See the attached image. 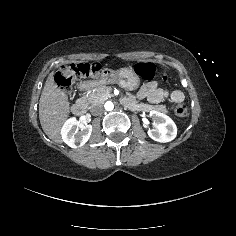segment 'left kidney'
<instances>
[{"instance_id": "left-kidney-1", "label": "left kidney", "mask_w": 236, "mask_h": 236, "mask_svg": "<svg viewBox=\"0 0 236 236\" xmlns=\"http://www.w3.org/2000/svg\"><path fill=\"white\" fill-rule=\"evenodd\" d=\"M149 117L153 120L154 128L148 129V136L159 143L172 141L177 134V127L174 121L167 115L151 110Z\"/></svg>"}]
</instances>
